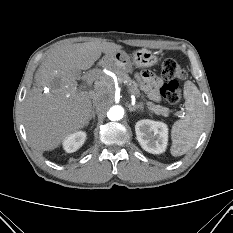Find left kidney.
<instances>
[{"label": "left kidney", "mask_w": 233, "mask_h": 233, "mask_svg": "<svg viewBox=\"0 0 233 233\" xmlns=\"http://www.w3.org/2000/svg\"><path fill=\"white\" fill-rule=\"evenodd\" d=\"M137 140L141 147L152 154L165 152L168 143V127L153 120H140L135 125Z\"/></svg>", "instance_id": "obj_1"}]
</instances>
